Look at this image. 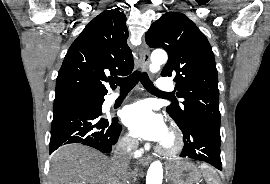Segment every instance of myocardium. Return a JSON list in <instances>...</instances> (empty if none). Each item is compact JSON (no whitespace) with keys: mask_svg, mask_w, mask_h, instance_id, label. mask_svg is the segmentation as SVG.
<instances>
[{"mask_svg":"<svg viewBox=\"0 0 270 184\" xmlns=\"http://www.w3.org/2000/svg\"><path fill=\"white\" fill-rule=\"evenodd\" d=\"M183 147V138L177 128L170 129L167 134V141L157 148V152L167 158L175 157L178 155Z\"/></svg>","mask_w":270,"mask_h":184,"instance_id":"myocardium-1","label":"myocardium"}]
</instances>
